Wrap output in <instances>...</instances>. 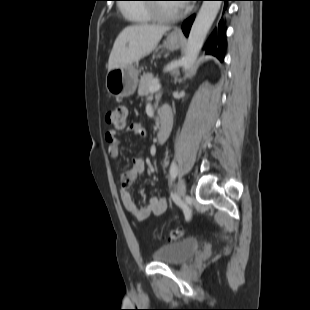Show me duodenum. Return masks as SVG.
Masks as SVG:
<instances>
[{
	"mask_svg": "<svg viewBox=\"0 0 310 310\" xmlns=\"http://www.w3.org/2000/svg\"><path fill=\"white\" fill-rule=\"evenodd\" d=\"M160 127L157 132V141L165 142L172 131V117L169 110L161 108L159 111Z\"/></svg>",
	"mask_w": 310,
	"mask_h": 310,
	"instance_id": "obj_1",
	"label": "duodenum"
}]
</instances>
